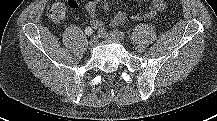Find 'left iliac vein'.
<instances>
[{
    "label": "left iliac vein",
    "mask_w": 217,
    "mask_h": 121,
    "mask_svg": "<svg viewBox=\"0 0 217 121\" xmlns=\"http://www.w3.org/2000/svg\"><path fill=\"white\" fill-rule=\"evenodd\" d=\"M104 37L107 40H112V41H116V42L120 41V38L115 33H113V32L105 34Z\"/></svg>",
    "instance_id": "left-iliac-vein-1"
}]
</instances>
